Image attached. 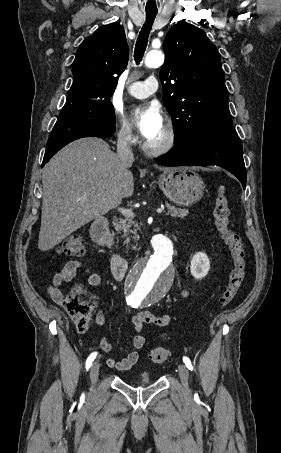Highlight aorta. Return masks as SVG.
I'll return each instance as SVG.
<instances>
[{
  "label": "aorta",
  "mask_w": 281,
  "mask_h": 453,
  "mask_svg": "<svg viewBox=\"0 0 281 453\" xmlns=\"http://www.w3.org/2000/svg\"><path fill=\"white\" fill-rule=\"evenodd\" d=\"M163 62L161 51H151L145 57L147 67L162 65ZM151 243L154 254L135 264L127 276V300L134 306H150L161 301L173 283L171 240L159 234L152 238Z\"/></svg>",
  "instance_id": "762f6f07"
}]
</instances>
